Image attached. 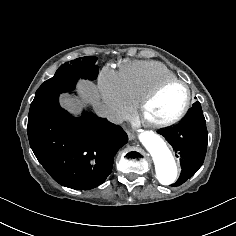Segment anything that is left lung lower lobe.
Listing matches in <instances>:
<instances>
[{
	"mask_svg": "<svg viewBox=\"0 0 236 236\" xmlns=\"http://www.w3.org/2000/svg\"><path fill=\"white\" fill-rule=\"evenodd\" d=\"M180 158L181 175L173 186L191 178L202 166L207 151L208 132L200 103L197 101L176 126L158 131Z\"/></svg>",
	"mask_w": 236,
	"mask_h": 236,
	"instance_id": "0a47b994",
	"label": "left lung lower lobe"
}]
</instances>
